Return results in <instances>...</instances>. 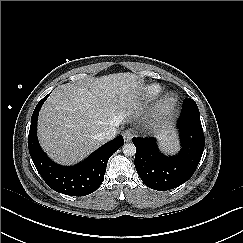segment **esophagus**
<instances>
[{"instance_id":"obj_1","label":"esophagus","mask_w":243,"mask_h":243,"mask_svg":"<svg viewBox=\"0 0 243 243\" xmlns=\"http://www.w3.org/2000/svg\"><path fill=\"white\" fill-rule=\"evenodd\" d=\"M135 136V133L133 130H125L123 132V138L125 142H130L132 140V138Z\"/></svg>"}]
</instances>
